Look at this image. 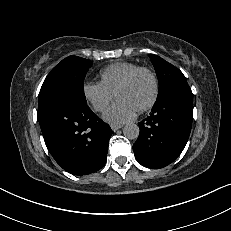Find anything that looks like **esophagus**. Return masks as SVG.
Masks as SVG:
<instances>
[{
	"label": "esophagus",
	"instance_id": "esophagus-1",
	"mask_svg": "<svg viewBox=\"0 0 231 231\" xmlns=\"http://www.w3.org/2000/svg\"><path fill=\"white\" fill-rule=\"evenodd\" d=\"M122 126L123 125H115V124H113V125H111V129L114 131V132H116L117 130H119L120 128H122Z\"/></svg>",
	"mask_w": 231,
	"mask_h": 231
}]
</instances>
